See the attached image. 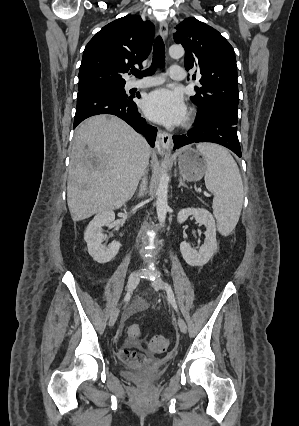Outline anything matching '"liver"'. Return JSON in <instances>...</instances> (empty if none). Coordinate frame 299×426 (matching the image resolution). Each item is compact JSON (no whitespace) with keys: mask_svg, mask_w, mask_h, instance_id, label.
I'll list each match as a JSON object with an SVG mask.
<instances>
[{"mask_svg":"<svg viewBox=\"0 0 299 426\" xmlns=\"http://www.w3.org/2000/svg\"><path fill=\"white\" fill-rule=\"evenodd\" d=\"M145 139L111 115L77 128L70 154L67 204L74 222L120 208L135 193L150 157Z\"/></svg>","mask_w":299,"mask_h":426,"instance_id":"6515ba94","label":"liver"}]
</instances>
